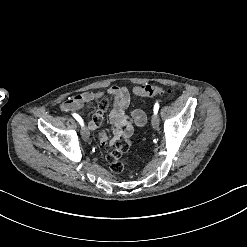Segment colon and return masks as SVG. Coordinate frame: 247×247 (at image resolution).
Returning a JSON list of instances; mask_svg holds the SVG:
<instances>
[{
	"label": "colon",
	"mask_w": 247,
	"mask_h": 247,
	"mask_svg": "<svg viewBox=\"0 0 247 247\" xmlns=\"http://www.w3.org/2000/svg\"><path fill=\"white\" fill-rule=\"evenodd\" d=\"M133 92L138 97H149V96H156V95H161L165 93L170 94L172 93V90L168 88H164L159 85L143 84V85L135 86L133 89ZM130 164H131V161H130Z\"/></svg>",
	"instance_id": "obj_1"
}]
</instances>
